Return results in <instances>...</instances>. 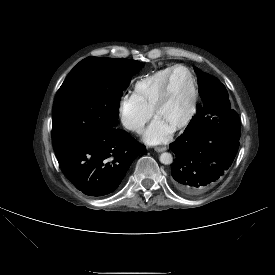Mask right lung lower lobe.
I'll return each mask as SVG.
<instances>
[{"instance_id":"obj_1","label":"right lung lower lobe","mask_w":275,"mask_h":275,"mask_svg":"<svg viewBox=\"0 0 275 275\" xmlns=\"http://www.w3.org/2000/svg\"><path fill=\"white\" fill-rule=\"evenodd\" d=\"M145 149L127 132L115 128L70 139L54 148L63 173L88 196L113 192Z\"/></svg>"}]
</instances>
